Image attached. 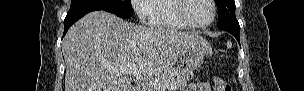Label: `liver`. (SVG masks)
<instances>
[{
	"mask_svg": "<svg viewBox=\"0 0 304 91\" xmlns=\"http://www.w3.org/2000/svg\"><path fill=\"white\" fill-rule=\"evenodd\" d=\"M197 41L205 40L194 32L146 27L106 11L91 12L63 39L65 91H131V82L115 70L134 66L146 77L161 76Z\"/></svg>",
	"mask_w": 304,
	"mask_h": 91,
	"instance_id": "liver-1",
	"label": "liver"
}]
</instances>
